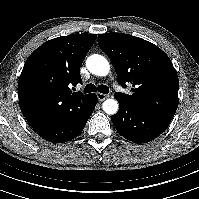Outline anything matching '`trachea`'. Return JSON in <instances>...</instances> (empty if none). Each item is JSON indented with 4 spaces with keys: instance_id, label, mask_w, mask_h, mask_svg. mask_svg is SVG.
<instances>
[{
    "instance_id": "1",
    "label": "trachea",
    "mask_w": 199,
    "mask_h": 199,
    "mask_svg": "<svg viewBox=\"0 0 199 199\" xmlns=\"http://www.w3.org/2000/svg\"><path fill=\"white\" fill-rule=\"evenodd\" d=\"M96 91L103 94H108L109 87H107L106 85H99L98 87H96L94 84H88L84 88L85 93L96 92Z\"/></svg>"
}]
</instances>
